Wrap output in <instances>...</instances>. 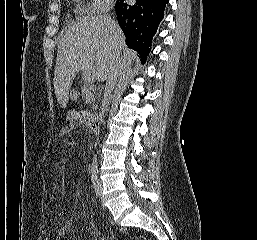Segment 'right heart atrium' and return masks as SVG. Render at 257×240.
<instances>
[{"mask_svg": "<svg viewBox=\"0 0 257 240\" xmlns=\"http://www.w3.org/2000/svg\"><path fill=\"white\" fill-rule=\"evenodd\" d=\"M113 0H92L91 11L93 13H103L110 9Z\"/></svg>", "mask_w": 257, "mask_h": 240, "instance_id": "d8ad5b80", "label": "right heart atrium"}]
</instances>
